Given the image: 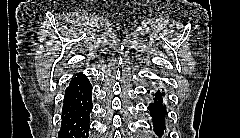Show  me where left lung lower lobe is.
I'll return each mask as SVG.
<instances>
[{
  "instance_id": "left-lung-lower-lobe-1",
  "label": "left lung lower lobe",
  "mask_w": 240,
  "mask_h": 138,
  "mask_svg": "<svg viewBox=\"0 0 240 138\" xmlns=\"http://www.w3.org/2000/svg\"><path fill=\"white\" fill-rule=\"evenodd\" d=\"M149 93V91H148ZM164 92H161L158 90L155 93V98L154 102L151 103L148 107L150 114L152 116V122H153V127H154V132L159 136L162 137L164 130H165V108L163 107V98Z\"/></svg>"
}]
</instances>
